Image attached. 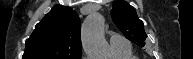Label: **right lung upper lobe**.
Instances as JSON below:
<instances>
[{"instance_id":"cb5924a9","label":"right lung upper lobe","mask_w":193,"mask_h":59,"mask_svg":"<svg viewBox=\"0 0 193 59\" xmlns=\"http://www.w3.org/2000/svg\"><path fill=\"white\" fill-rule=\"evenodd\" d=\"M22 59H81L77 13L69 7L55 5L26 40Z\"/></svg>"}]
</instances>
